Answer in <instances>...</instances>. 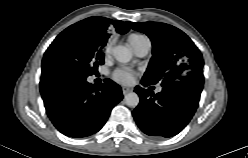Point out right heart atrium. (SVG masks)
<instances>
[{"instance_id": "obj_1", "label": "right heart atrium", "mask_w": 248, "mask_h": 158, "mask_svg": "<svg viewBox=\"0 0 248 158\" xmlns=\"http://www.w3.org/2000/svg\"><path fill=\"white\" fill-rule=\"evenodd\" d=\"M110 48H111V45H110V43L106 46V53L108 54L109 52H110Z\"/></svg>"}]
</instances>
